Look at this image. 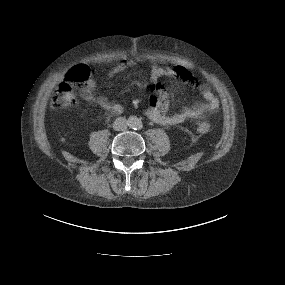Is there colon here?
<instances>
[{
  "label": "colon",
  "mask_w": 285,
  "mask_h": 285,
  "mask_svg": "<svg viewBox=\"0 0 285 285\" xmlns=\"http://www.w3.org/2000/svg\"><path fill=\"white\" fill-rule=\"evenodd\" d=\"M178 75L184 73L181 67L176 68ZM90 77V68L86 65H78L72 68L65 80L58 86L51 97V107L56 110L73 106L77 102L76 88L85 84ZM210 125L207 122H199L196 131L200 134L207 133Z\"/></svg>",
  "instance_id": "colon-1"
}]
</instances>
